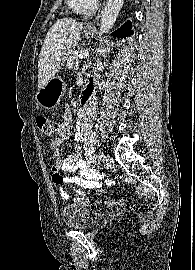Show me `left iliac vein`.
Instances as JSON below:
<instances>
[{"label": "left iliac vein", "mask_w": 195, "mask_h": 270, "mask_svg": "<svg viewBox=\"0 0 195 270\" xmlns=\"http://www.w3.org/2000/svg\"><path fill=\"white\" fill-rule=\"evenodd\" d=\"M103 162H104L105 166H106L107 168H109V167H111V165H112V158H111L108 154H105V155L103 156Z\"/></svg>", "instance_id": "obj_1"}]
</instances>
